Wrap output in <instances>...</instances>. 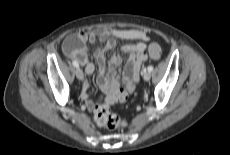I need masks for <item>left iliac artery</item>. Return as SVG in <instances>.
<instances>
[{"instance_id": "left-iliac-artery-1", "label": "left iliac artery", "mask_w": 230, "mask_h": 155, "mask_svg": "<svg viewBox=\"0 0 230 155\" xmlns=\"http://www.w3.org/2000/svg\"><path fill=\"white\" fill-rule=\"evenodd\" d=\"M148 71H149V72L153 71V66H152V65H150V66L148 67Z\"/></svg>"}]
</instances>
